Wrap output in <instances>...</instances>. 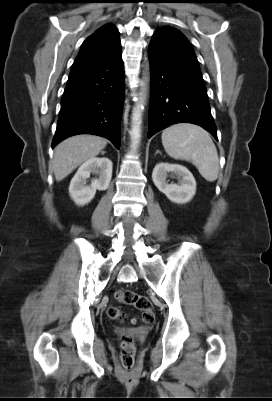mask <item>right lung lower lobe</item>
I'll return each instance as SVG.
<instances>
[{"label": "right lung lower lobe", "mask_w": 272, "mask_h": 401, "mask_svg": "<svg viewBox=\"0 0 272 401\" xmlns=\"http://www.w3.org/2000/svg\"><path fill=\"white\" fill-rule=\"evenodd\" d=\"M123 102L120 47L105 59L69 76L52 148L67 137L94 134L109 139L119 149Z\"/></svg>", "instance_id": "obj_1"}]
</instances>
